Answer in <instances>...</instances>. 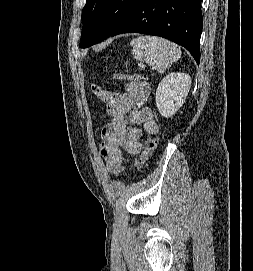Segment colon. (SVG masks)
<instances>
[{
	"mask_svg": "<svg viewBox=\"0 0 253 271\" xmlns=\"http://www.w3.org/2000/svg\"><path fill=\"white\" fill-rule=\"evenodd\" d=\"M135 80H142V78L140 76H134L133 77ZM96 93L98 95H100V88L96 87L95 88ZM158 144V138L157 137H151L147 140L146 142V146L145 149L143 151V153L141 154V156L137 159L136 161V167L137 168H142L150 159V157L152 156L153 152L155 151L156 147Z\"/></svg>",
	"mask_w": 253,
	"mask_h": 271,
	"instance_id": "obj_1",
	"label": "colon"
}]
</instances>
